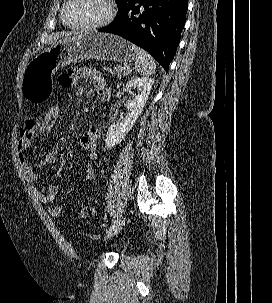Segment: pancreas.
<instances>
[{
  "mask_svg": "<svg viewBox=\"0 0 272 303\" xmlns=\"http://www.w3.org/2000/svg\"><path fill=\"white\" fill-rule=\"evenodd\" d=\"M114 73L116 74V76L118 78L127 76L128 74H130V70L129 69H124V67H122L121 65H118L114 68Z\"/></svg>",
  "mask_w": 272,
  "mask_h": 303,
  "instance_id": "cf45deb5",
  "label": "pancreas"
}]
</instances>
